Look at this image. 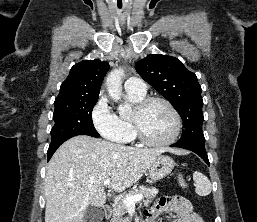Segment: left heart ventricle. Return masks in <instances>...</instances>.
<instances>
[{
    "mask_svg": "<svg viewBox=\"0 0 257 222\" xmlns=\"http://www.w3.org/2000/svg\"><path fill=\"white\" fill-rule=\"evenodd\" d=\"M144 134L153 141L168 139L174 132V118L169 109L162 103L148 107L141 117Z\"/></svg>",
    "mask_w": 257,
    "mask_h": 222,
    "instance_id": "obj_1",
    "label": "left heart ventricle"
}]
</instances>
